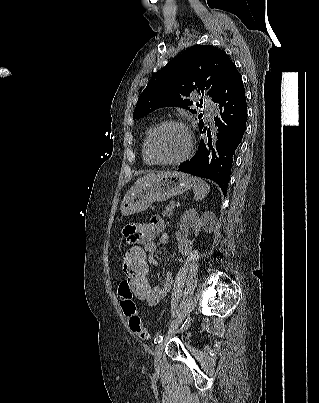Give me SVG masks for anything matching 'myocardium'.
I'll return each mask as SVG.
<instances>
[{"instance_id":"f54148a6","label":"myocardium","mask_w":319,"mask_h":403,"mask_svg":"<svg viewBox=\"0 0 319 403\" xmlns=\"http://www.w3.org/2000/svg\"><path fill=\"white\" fill-rule=\"evenodd\" d=\"M169 125L179 126L185 131V133L187 135V139H188V145H187V149L184 152V154L182 156H180L179 158L172 159V160H161V159L156 158L155 155L153 154V150H152L153 140H154L156 134L162 128L169 126ZM193 149H194V138H193L191 129L185 122L178 120V119H166V120L160 122L159 124H157L150 132L148 139H147V143H146V151H147V155H148L149 159L153 163L160 164V165H175V164L183 163L192 156Z\"/></svg>"}]
</instances>
